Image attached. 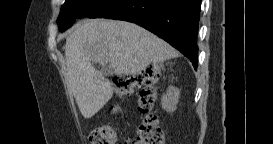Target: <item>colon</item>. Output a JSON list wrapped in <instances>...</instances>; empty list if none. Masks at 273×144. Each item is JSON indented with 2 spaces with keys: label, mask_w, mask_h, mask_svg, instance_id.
Segmentation results:
<instances>
[{
  "label": "colon",
  "mask_w": 273,
  "mask_h": 144,
  "mask_svg": "<svg viewBox=\"0 0 273 144\" xmlns=\"http://www.w3.org/2000/svg\"><path fill=\"white\" fill-rule=\"evenodd\" d=\"M157 67H149L132 76H118L114 79L116 93L122 96L131 94L135 88H140L139 110L144 114V120L139 126L135 143L163 144L165 134L157 116L152 112L156 91L154 84L159 77ZM115 110V108H114ZM118 136L116 130L109 125L95 127L90 134L91 144H115Z\"/></svg>",
  "instance_id": "colon-1"
}]
</instances>
